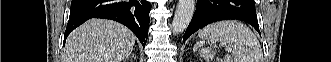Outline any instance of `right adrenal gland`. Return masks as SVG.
Wrapping results in <instances>:
<instances>
[{
	"label": "right adrenal gland",
	"mask_w": 331,
	"mask_h": 62,
	"mask_svg": "<svg viewBox=\"0 0 331 62\" xmlns=\"http://www.w3.org/2000/svg\"><path fill=\"white\" fill-rule=\"evenodd\" d=\"M128 58H133V59H137V57H136V55L134 54V53H132L131 55H129V57Z\"/></svg>",
	"instance_id": "2a0ac1e0"
}]
</instances>
